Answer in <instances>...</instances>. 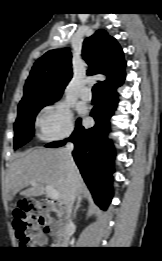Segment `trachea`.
Segmentation results:
<instances>
[{
    "label": "trachea",
    "instance_id": "1",
    "mask_svg": "<svg viewBox=\"0 0 162 261\" xmlns=\"http://www.w3.org/2000/svg\"><path fill=\"white\" fill-rule=\"evenodd\" d=\"M92 92H93L94 95H99L100 94V86H99V84H96L93 87Z\"/></svg>",
    "mask_w": 162,
    "mask_h": 261
}]
</instances>
